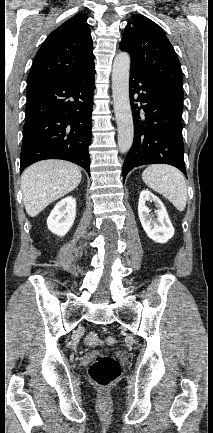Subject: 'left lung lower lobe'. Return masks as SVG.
Here are the masks:
<instances>
[{
    "label": "left lung lower lobe",
    "mask_w": 213,
    "mask_h": 433,
    "mask_svg": "<svg viewBox=\"0 0 213 433\" xmlns=\"http://www.w3.org/2000/svg\"><path fill=\"white\" fill-rule=\"evenodd\" d=\"M129 93L135 133L122 169L123 182L134 167L154 163L175 166L187 177L182 139L183 98L149 82L134 69H130Z\"/></svg>",
    "instance_id": "left-lung-lower-lobe-1"
}]
</instances>
